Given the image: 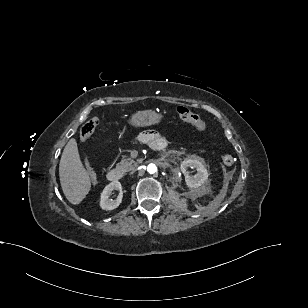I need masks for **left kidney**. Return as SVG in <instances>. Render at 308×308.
<instances>
[{
    "mask_svg": "<svg viewBox=\"0 0 308 308\" xmlns=\"http://www.w3.org/2000/svg\"><path fill=\"white\" fill-rule=\"evenodd\" d=\"M196 168L197 174L190 177L187 173V168ZM181 171L185 174L186 184L189 188L195 189L208 179V172L205 166L198 159L189 158L184 160L180 165Z\"/></svg>",
    "mask_w": 308,
    "mask_h": 308,
    "instance_id": "obj_1",
    "label": "left kidney"
}]
</instances>
